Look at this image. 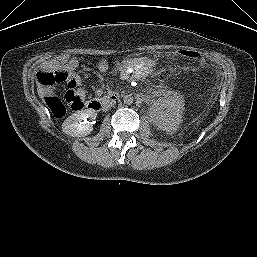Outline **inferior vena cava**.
<instances>
[{"label": "inferior vena cava", "mask_w": 257, "mask_h": 257, "mask_svg": "<svg viewBox=\"0 0 257 257\" xmlns=\"http://www.w3.org/2000/svg\"><path fill=\"white\" fill-rule=\"evenodd\" d=\"M113 105H114L113 102H111V101H106V102L103 104V109H104V110H108V109L111 108Z\"/></svg>", "instance_id": "602c4592"}]
</instances>
